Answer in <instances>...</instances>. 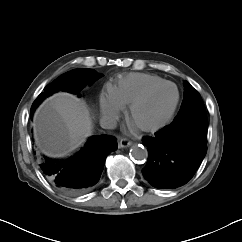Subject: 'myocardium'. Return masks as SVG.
I'll use <instances>...</instances> for the list:
<instances>
[{
	"mask_svg": "<svg viewBox=\"0 0 242 242\" xmlns=\"http://www.w3.org/2000/svg\"><path fill=\"white\" fill-rule=\"evenodd\" d=\"M164 86H173L176 90V99L174 102V105L172 106L170 112L168 113L167 117L159 124L155 126H138L134 123L133 117L135 114V111L138 107H140L142 104H144L156 91L161 89ZM181 94L178 86L171 82V81H163L161 83H158L156 85L151 86L148 88L144 93H142L138 98H136L130 105L128 110V119L131 123V125L137 129L140 132L143 133H156L167 127L174 119L176 112L178 110L179 104H180Z\"/></svg>",
	"mask_w": 242,
	"mask_h": 242,
	"instance_id": "f54148a6",
	"label": "myocardium"
}]
</instances>
